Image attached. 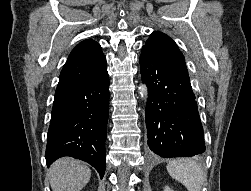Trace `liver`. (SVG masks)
Listing matches in <instances>:
<instances>
[{"instance_id": "liver-1", "label": "liver", "mask_w": 251, "mask_h": 191, "mask_svg": "<svg viewBox=\"0 0 251 191\" xmlns=\"http://www.w3.org/2000/svg\"><path fill=\"white\" fill-rule=\"evenodd\" d=\"M91 169L74 157H60L49 169L52 191H80L88 183Z\"/></svg>"}]
</instances>
